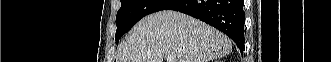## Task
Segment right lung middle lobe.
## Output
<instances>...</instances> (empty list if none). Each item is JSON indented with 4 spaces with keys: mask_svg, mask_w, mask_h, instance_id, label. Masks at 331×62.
Segmentation results:
<instances>
[{
    "mask_svg": "<svg viewBox=\"0 0 331 62\" xmlns=\"http://www.w3.org/2000/svg\"><path fill=\"white\" fill-rule=\"evenodd\" d=\"M121 8L116 17V43L144 16L160 11L175 0H120Z\"/></svg>",
    "mask_w": 331,
    "mask_h": 62,
    "instance_id": "dd1d6c3e",
    "label": "right lung middle lobe"
}]
</instances>
